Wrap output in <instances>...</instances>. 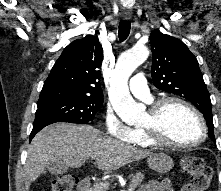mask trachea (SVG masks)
<instances>
[{
	"instance_id": "trachea-1",
	"label": "trachea",
	"mask_w": 221,
	"mask_h": 191,
	"mask_svg": "<svg viewBox=\"0 0 221 191\" xmlns=\"http://www.w3.org/2000/svg\"><path fill=\"white\" fill-rule=\"evenodd\" d=\"M130 29H131V23L130 22L123 21V20H121L119 22L118 36H119V39H120L121 42L126 40V38L129 36Z\"/></svg>"
}]
</instances>
